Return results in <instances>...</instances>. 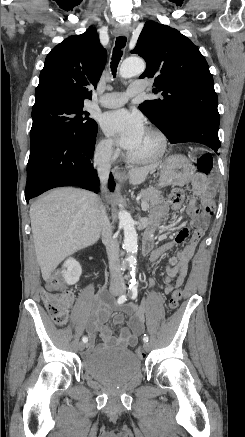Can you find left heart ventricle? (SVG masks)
Segmentation results:
<instances>
[{
    "label": "left heart ventricle",
    "mask_w": 245,
    "mask_h": 437,
    "mask_svg": "<svg viewBox=\"0 0 245 437\" xmlns=\"http://www.w3.org/2000/svg\"><path fill=\"white\" fill-rule=\"evenodd\" d=\"M159 147V141L156 136L145 132L137 148L130 154L135 157H147L152 155Z\"/></svg>",
    "instance_id": "1"
}]
</instances>
